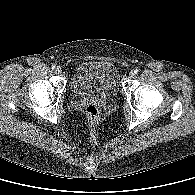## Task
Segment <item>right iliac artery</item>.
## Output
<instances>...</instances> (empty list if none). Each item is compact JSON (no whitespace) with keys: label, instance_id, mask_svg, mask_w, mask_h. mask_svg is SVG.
<instances>
[{"label":"right iliac artery","instance_id":"82829eb1","mask_svg":"<svg viewBox=\"0 0 195 195\" xmlns=\"http://www.w3.org/2000/svg\"><path fill=\"white\" fill-rule=\"evenodd\" d=\"M51 68L54 70L56 68V66L55 65H52Z\"/></svg>","mask_w":195,"mask_h":195}]
</instances>
